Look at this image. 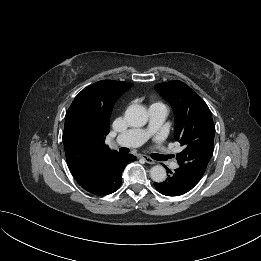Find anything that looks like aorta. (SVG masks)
<instances>
[{
    "label": "aorta",
    "instance_id": "obj_1",
    "mask_svg": "<svg viewBox=\"0 0 261 261\" xmlns=\"http://www.w3.org/2000/svg\"><path fill=\"white\" fill-rule=\"evenodd\" d=\"M125 120L131 127H143L148 121V113L142 106H130L125 111ZM150 177L154 182L161 183L166 179V170L161 165L150 169Z\"/></svg>",
    "mask_w": 261,
    "mask_h": 261
}]
</instances>
